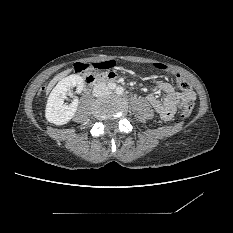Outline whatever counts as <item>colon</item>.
I'll return each instance as SVG.
<instances>
[{
	"label": "colon",
	"instance_id": "1",
	"mask_svg": "<svg viewBox=\"0 0 233 233\" xmlns=\"http://www.w3.org/2000/svg\"><path fill=\"white\" fill-rule=\"evenodd\" d=\"M99 68H107L110 65L109 64H98L97 65ZM154 68L161 70V71H169V67L162 63V62H156L153 64ZM93 65L89 63H84V62H78L74 66V71L83 76L84 78L88 77L90 78L94 73H93ZM65 75V73L62 71L57 75V79L62 78ZM178 88L182 90L185 93V97L183 100L182 104V113L181 116L182 118H188L191 114L192 107H193V96H192V88L191 85L188 81L186 80H180L177 82ZM43 93V91L41 92Z\"/></svg>",
	"mask_w": 233,
	"mask_h": 233
}]
</instances>
